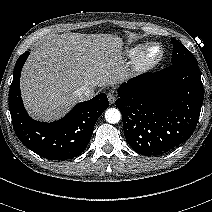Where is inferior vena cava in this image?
I'll use <instances>...</instances> for the list:
<instances>
[{
    "label": "inferior vena cava",
    "mask_w": 212,
    "mask_h": 212,
    "mask_svg": "<svg viewBox=\"0 0 212 212\" xmlns=\"http://www.w3.org/2000/svg\"><path fill=\"white\" fill-rule=\"evenodd\" d=\"M95 89L92 87H80L75 91V97L78 101H86L94 96Z\"/></svg>",
    "instance_id": "obj_1"
}]
</instances>
